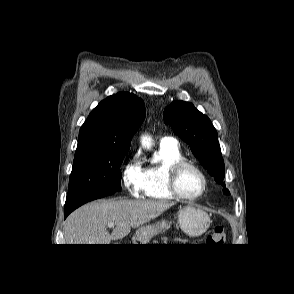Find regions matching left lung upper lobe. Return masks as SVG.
<instances>
[{
    "label": "left lung upper lobe",
    "instance_id": "left-lung-upper-lobe-1",
    "mask_svg": "<svg viewBox=\"0 0 294 294\" xmlns=\"http://www.w3.org/2000/svg\"><path fill=\"white\" fill-rule=\"evenodd\" d=\"M164 122L189 144L193 154L219 184H224V161L221 155L217 132L210 119L193 104L174 101L163 113ZM224 193L229 191L224 189Z\"/></svg>",
    "mask_w": 294,
    "mask_h": 294
}]
</instances>
